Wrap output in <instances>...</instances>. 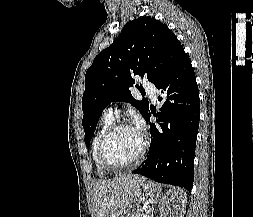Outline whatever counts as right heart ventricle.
<instances>
[{
	"mask_svg": "<svg viewBox=\"0 0 253 217\" xmlns=\"http://www.w3.org/2000/svg\"><path fill=\"white\" fill-rule=\"evenodd\" d=\"M112 122H113L112 117L104 116L103 121L100 125V128L97 131V133L95 134L93 142H92V157H93L97 172L101 175H108L109 172H106L105 170H103L99 164L98 156H97L98 145H99V142H100L102 136L106 132V130L112 125Z\"/></svg>",
	"mask_w": 253,
	"mask_h": 217,
	"instance_id": "obj_1",
	"label": "right heart ventricle"
}]
</instances>
